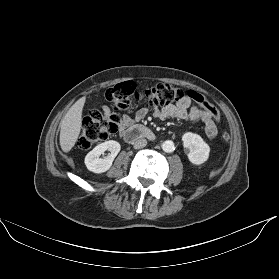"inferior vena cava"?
<instances>
[{"instance_id": "obj_1", "label": "inferior vena cava", "mask_w": 279, "mask_h": 279, "mask_svg": "<svg viewBox=\"0 0 279 279\" xmlns=\"http://www.w3.org/2000/svg\"><path fill=\"white\" fill-rule=\"evenodd\" d=\"M134 148L135 149H141L144 148L147 145V140L142 138V139H138L137 141L134 142Z\"/></svg>"}]
</instances>
